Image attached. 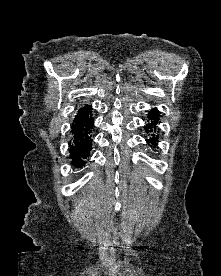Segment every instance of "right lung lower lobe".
Here are the masks:
<instances>
[{
    "instance_id": "98d812e1",
    "label": "right lung lower lobe",
    "mask_w": 221,
    "mask_h": 276,
    "mask_svg": "<svg viewBox=\"0 0 221 276\" xmlns=\"http://www.w3.org/2000/svg\"><path fill=\"white\" fill-rule=\"evenodd\" d=\"M92 128L93 118L91 115V106L85 105L78 110L73 120L71 127L73 138L69 142V153L72 164L77 168L84 166V160L89 157L92 146Z\"/></svg>"
}]
</instances>
